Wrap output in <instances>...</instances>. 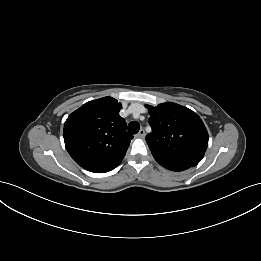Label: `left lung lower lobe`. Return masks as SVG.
Masks as SVG:
<instances>
[{"label":"left lung lower lobe","instance_id":"1","mask_svg":"<svg viewBox=\"0 0 261 261\" xmlns=\"http://www.w3.org/2000/svg\"><path fill=\"white\" fill-rule=\"evenodd\" d=\"M154 159L164 168L169 169L171 171H183L186 170L192 166L186 165V164H182V163H178V162H174L156 155H153Z\"/></svg>","mask_w":261,"mask_h":261}]
</instances>
